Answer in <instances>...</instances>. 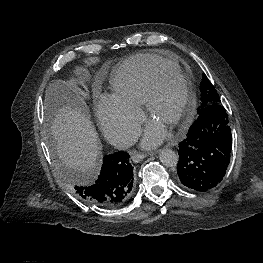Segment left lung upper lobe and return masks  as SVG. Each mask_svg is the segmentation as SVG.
<instances>
[{
  "instance_id": "obj_1",
  "label": "left lung upper lobe",
  "mask_w": 263,
  "mask_h": 263,
  "mask_svg": "<svg viewBox=\"0 0 263 263\" xmlns=\"http://www.w3.org/2000/svg\"><path fill=\"white\" fill-rule=\"evenodd\" d=\"M200 91H201V106L198 108V114H200L205 108L212 104H219L220 98L215 90L214 86L211 84L209 79L206 77L205 74H203V79L200 85Z\"/></svg>"
}]
</instances>
